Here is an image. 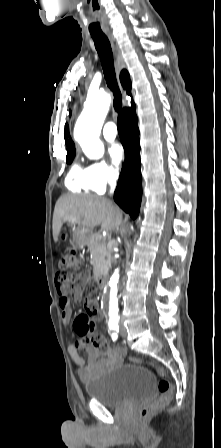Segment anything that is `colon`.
Wrapping results in <instances>:
<instances>
[{"mask_svg":"<svg viewBox=\"0 0 221 448\" xmlns=\"http://www.w3.org/2000/svg\"><path fill=\"white\" fill-rule=\"evenodd\" d=\"M79 267V262L76 252L72 248H65L61 254L58 263V272L56 275L58 288L63 290L70 284L72 272L77 270ZM95 285L92 283L86 294V300L90 303L95 302L94 298ZM86 329L88 331L93 329V323L91 322ZM129 362L139 365H146L152 368L160 376L157 384L160 396L157 400L144 406L139 413V418L141 420H147L153 414L157 412L159 408L167 404L171 397V384L165 377L164 371L152 360H140L136 358H129Z\"/></svg>","mask_w":221,"mask_h":448,"instance_id":"obj_1","label":"colon"}]
</instances>
